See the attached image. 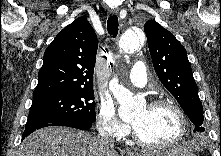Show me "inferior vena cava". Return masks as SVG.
Instances as JSON below:
<instances>
[{"mask_svg":"<svg viewBox=\"0 0 221 156\" xmlns=\"http://www.w3.org/2000/svg\"><path fill=\"white\" fill-rule=\"evenodd\" d=\"M99 142L104 147H113L114 146V140L109 137L106 133L100 134L98 138Z\"/></svg>","mask_w":221,"mask_h":156,"instance_id":"inferior-vena-cava-1","label":"inferior vena cava"}]
</instances>
